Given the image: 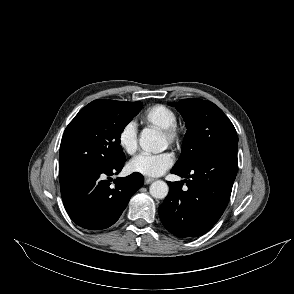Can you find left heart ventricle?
<instances>
[{"mask_svg":"<svg viewBox=\"0 0 294 294\" xmlns=\"http://www.w3.org/2000/svg\"><path fill=\"white\" fill-rule=\"evenodd\" d=\"M162 141H163L164 145L167 144V140H166V138L164 136H162Z\"/></svg>","mask_w":294,"mask_h":294,"instance_id":"obj_1","label":"left heart ventricle"}]
</instances>
